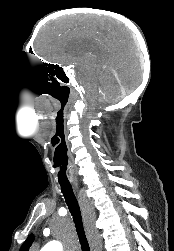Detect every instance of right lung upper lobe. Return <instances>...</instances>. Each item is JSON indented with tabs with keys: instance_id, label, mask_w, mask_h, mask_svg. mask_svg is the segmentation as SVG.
I'll return each instance as SVG.
<instances>
[{
	"instance_id": "1",
	"label": "right lung upper lobe",
	"mask_w": 174,
	"mask_h": 251,
	"mask_svg": "<svg viewBox=\"0 0 174 251\" xmlns=\"http://www.w3.org/2000/svg\"><path fill=\"white\" fill-rule=\"evenodd\" d=\"M33 241H34V235L31 234L28 236L26 241L23 243L20 251H29V248H30L31 244L33 243Z\"/></svg>"
}]
</instances>
